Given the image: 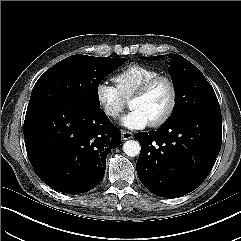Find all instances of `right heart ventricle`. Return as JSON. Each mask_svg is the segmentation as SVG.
Wrapping results in <instances>:
<instances>
[{
  "label": "right heart ventricle",
  "instance_id": "e07e8e85",
  "mask_svg": "<svg viewBox=\"0 0 241 241\" xmlns=\"http://www.w3.org/2000/svg\"><path fill=\"white\" fill-rule=\"evenodd\" d=\"M157 75H160V72L155 68L134 63L120 70L113 77V81L121 96L129 98L144 82Z\"/></svg>",
  "mask_w": 241,
  "mask_h": 241
}]
</instances>
